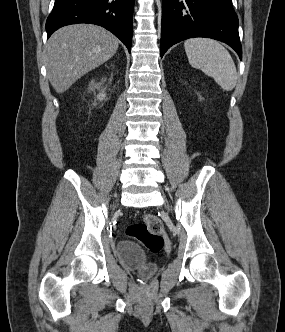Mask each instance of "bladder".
<instances>
[{"instance_id":"31cf9c89","label":"bladder","mask_w":285,"mask_h":332,"mask_svg":"<svg viewBox=\"0 0 285 332\" xmlns=\"http://www.w3.org/2000/svg\"><path fill=\"white\" fill-rule=\"evenodd\" d=\"M115 254L122 264L130 268H141L147 263L144 250L129 239H123L117 243Z\"/></svg>"}]
</instances>
